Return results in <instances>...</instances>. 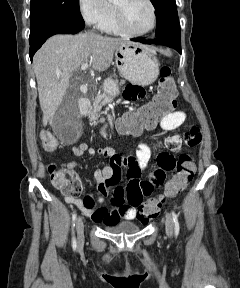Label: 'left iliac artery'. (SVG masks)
Instances as JSON below:
<instances>
[{"label":"left iliac artery","mask_w":240,"mask_h":288,"mask_svg":"<svg viewBox=\"0 0 240 288\" xmlns=\"http://www.w3.org/2000/svg\"><path fill=\"white\" fill-rule=\"evenodd\" d=\"M173 221H174V232L175 235L177 236L179 234L180 226H179V221H178V216L174 211L171 212Z\"/></svg>","instance_id":"obj_1"}]
</instances>
